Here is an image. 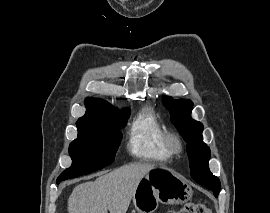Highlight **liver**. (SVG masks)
<instances>
[{
  "label": "liver",
  "instance_id": "liver-1",
  "mask_svg": "<svg viewBox=\"0 0 270 213\" xmlns=\"http://www.w3.org/2000/svg\"><path fill=\"white\" fill-rule=\"evenodd\" d=\"M155 166L134 163L77 185L68 198L69 213H126L140 180Z\"/></svg>",
  "mask_w": 270,
  "mask_h": 213
}]
</instances>
